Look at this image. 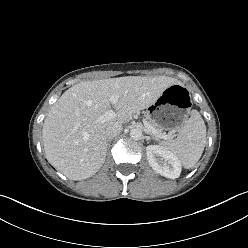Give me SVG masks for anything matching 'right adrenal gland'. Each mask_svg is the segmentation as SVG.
Returning <instances> with one entry per match:
<instances>
[{
	"instance_id": "2a0ac1e0",
	"label": "right adrenal gland",
	"mask_w": 248,
	"mask_h": 248,
	"mask_svg": "<svg viewBox=\"0 0 248 248\" xmlns=\"http://www.w3.org/2000/svg\"><path fill=\"white\" fill-rule=\"evenodd\" d=\"M111 145V139L108 141V149L110 148Z\"/></svg>"
}]
</instances>
